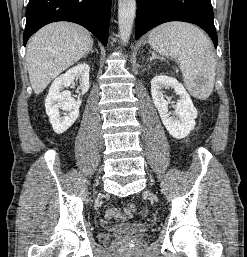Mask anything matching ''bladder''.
<instances>
[{"instance_id": "31cf9c89", "label": "bladder", "mask_w": 247, "mask_h": 257, "mask_svg": "<svg viewBox=\"0 0 247 257\" xmlns=\"http://www.w3.org/2000/svg\"><path fill=\"white\" fill-rule=\"evenodd\" d=\"M108 231L116 237L136 238L145 235L149 228L144 224L123 223L112 226Z\"/></svg>"}]
</instances>
